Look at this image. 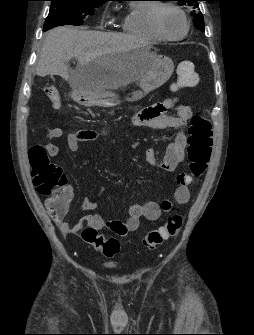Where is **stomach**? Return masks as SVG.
I'll list each match as a JSON object with an SVG mask.
<instances>
[{"label": "stomach", "mask_w": 254, "mask_h": 335, "mask_svg": "<svg viewBox=\"0 0 254 335\" xmlns=\"http://www.w3.org/2000/svg\"><path fill=\"white\" fill-rule=\"evenodd\" d=\"M134 56H151L152 65L150 69L138 80L139 90L133 91L126 97L127 101L134 102L143 98L149 92L162 86L172 75L174 70L173 61L163 55L150 53L147 47L130 49L119 55L120 58H131ZM107 59H100L91 62L88 68H100ZM72 98L80 105L91 107H114L121 103L119 95L103 91L92 85L84 88H74Z\"/></svg>", "instance_id": "0dacf381"}]
</instances>
